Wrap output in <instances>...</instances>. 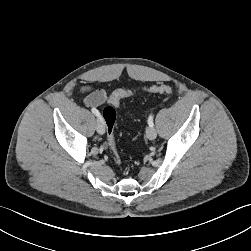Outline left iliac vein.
Returning a JSON list of instances; mask_svg holds the SVG:
<instances>
[{
  "instance_id": "1",
  "label": "left iliac vein",
  "mask_w": 251,
  "mask_h": 251,
  "mask_svg": "<svg viewBox=\"0 0 251 251\" xmlns=\"http://www.w3.org/2000/svg\"><path fill=\"white\" fill-rule=\"evenodd\" d=\"M146 136L150 139V140H154L157 137V132L156 129L154 127H148L146 129Z\"/></svg>"
}]
</instances>
